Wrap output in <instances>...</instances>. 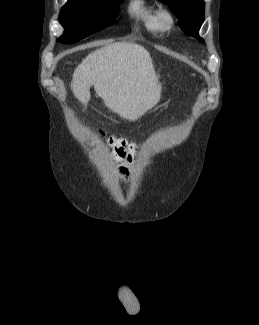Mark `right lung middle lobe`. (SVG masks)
<instances>
[{
    "label": "right lung middle lobe",
    "mask_w": 259,
    "mask_h": 325,
    "mask_svg": "<svg viewBox=\"0 0 259 325\" xmlns=\"http://www.w3.org/2000/svg\"><path fill=\"white\" fill-rule=\"evenodd\" d=\"M121 0H67L59 14L61 43H74L110 25Z\"/></svg>",
    "instance_id": "obj_1"
}]
</instances>
